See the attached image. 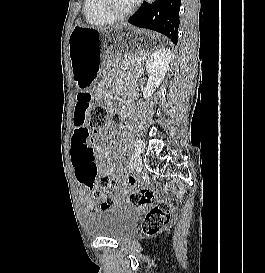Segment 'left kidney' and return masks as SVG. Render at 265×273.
Instances as JSON below:
<instances>
[{
  "label": "left kidney",
  "instance_id": "obj_1",
  "mask_svg": "<svg viewBox=\"0 0 265 273\" xmlns=\"http://www.w3.org/2000/svg\"><path fill=\"white\" fill-rule=\"evenodd\" d=\"M171 59V51L169 49L162 48L152 53V55L146 61L145 67L147 73L149 74V78L143 91V97L145 99L149 98L163 81Z\"/></svg>",
  "mask_w": 265,
  "mask_h": 273
}]
</instances>
